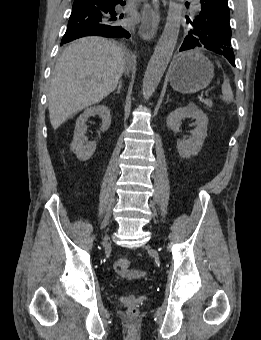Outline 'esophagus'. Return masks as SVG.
<instances>
[{
	"label": "esophagus",
	"mask_w": 261,
	"mask_h": 340,
	"mask_svg": "<svg viewBox=\"0 0 261 340\" xmlns=\"http://www.w3.org/2000/svg\"><path fill=\"white\" fill-rule=\"evenodd\" d=\"M159 13L156 9L146 6L143 10L140 35L144 40H151L156 37L159 26Z\"/></svg>",
	"instance_id": "obj_1"
}]
</instances>
